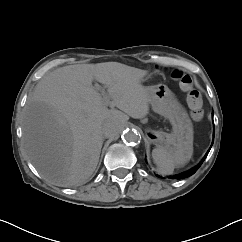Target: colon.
Returning a JSON list of instances; mask_svg holds the SVG:
<instances>
[{"mask_svg": "<svg viewBox=\"0 0 242 242\" xmlns=\"http://www.w3.org/2000/svg\"><path fill=\"white\" fill-rule=\"evenodd\" d=\"M171 77L177 81L180 88L187 93V104L191 117L200 120L203 117V99L201 93L194 87V80L181 70H174Z\"/></svg>", "mask_w": 242, "mask_h": 242, "instance_id": "5ec220e1", "label": "colon"}]
</instances>
